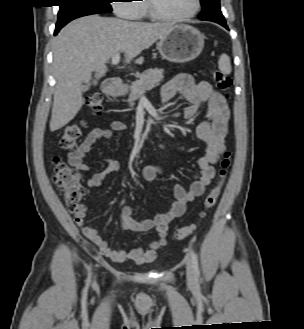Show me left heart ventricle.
Masks as SVG:
<instances>
[{"label": "left heart ventricle", "mask_w": 304, "mask_h": 329, "mask_svg": "<svg viewBox=\"0 0 304 329\" xmlns=\"http://www.w3.org/2000/svg\"><path fill=\"white\" fill-rule=\"evenodd\" d=\"M158 10L170 16L189 13L194 7V0H154Z\"/></svg>", "instance_id": "obj_1"}]
</instances>
